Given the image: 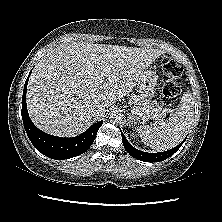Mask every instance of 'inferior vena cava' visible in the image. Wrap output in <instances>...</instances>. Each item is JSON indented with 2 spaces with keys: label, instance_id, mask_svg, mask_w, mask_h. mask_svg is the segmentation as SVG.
Wrapping results in <instances>:
<instances>
[{
  "label": "inferior vena cava",
  "instance_id": "inferior-vena-cava-1",
  "mask_svg": "<svg viewBox=\"0 0 222 222\" xmlns=\"http://www.w3.org/2000/svg\"><path fill=\"white\" fill-rule=\"evenodd\" d=\"M90 112L93 116H98L99 114L105 112V107L101 105H97L94 108H92Z\"/></svg>",
  "mask_w": 222,
  "mask_h": 222
}]
</instances>
